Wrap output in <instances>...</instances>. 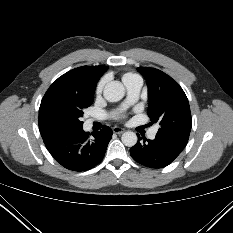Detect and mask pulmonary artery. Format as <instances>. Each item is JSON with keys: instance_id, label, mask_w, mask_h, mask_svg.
<instances>
[{"instance_id": "1", "label": "pulmonary artery", "mask_w": 233, "mask_h": 233, "mask_svg": "<svg viewBox=\"0 0 233 233\" xmlns=\"http://www.w3.org/2000/svg\"><path fill=\"white\" fill-rule=\"evenodd\" d=\"M126 89H127V99L125 102V105H130L134 103L139 95L141 86H142V79L140 77H134L131 80L127 81L125 83ZM158 127H154L149 132L148 136L150 139H154L157 133Z\"/></svg>"}]
</instances>
